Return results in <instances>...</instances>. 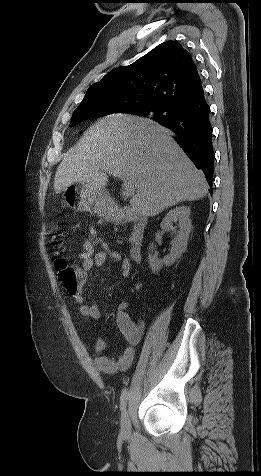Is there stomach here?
<instances>
[{"label":"stomach","mask_w":261,"mask_h":476,"mask_svg":"<svg viewBox=\"0 0 261 476\" xmlns=\"http://www.w3.org/2000/svg\"><path fill=\"white\" fill-rule=\"evenodd\" d=\"M63 195L67 206L73 210L90 212L108 220L116 216L114 203L104 189L79 182L68 186Z\"/></svg>","instance_id":"stomach-1"}]
</instances>
